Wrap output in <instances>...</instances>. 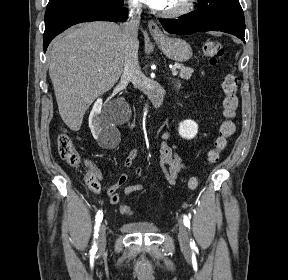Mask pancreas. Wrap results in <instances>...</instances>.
Returning <instances> with one entry per match:
<instances>
[{"label":"pancreas","mask_w":288,"mask_h":280,"mask_svg":"<svg viewBox=\"0 0 288 280\" xmlns=\"http://www.w3.org/2000/svg\"><path fill=\"white\" fill-rule=\"evenodd\" d=\"M174 68H177L180 70L179 77L182 79L189 80L192 76L193 69L190 67H185L183 64L175 63Z\"/></svg>","instance_id":"1"}]
</instances>
